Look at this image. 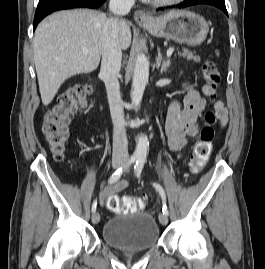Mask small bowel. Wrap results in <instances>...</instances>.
<instances>
[{
    "instance_id": "small-bowel-1",
    "label": "small bowel",
    "mask_w": 265,
    "mask_h": 269,
    "mask_svg": "<svg viewBox=\"0 0 265 269\" xmlns=\"http://www.w3.org/2000/svg\"><path fill=\"white\" fill-rule=\"evenodd\" d=\"M183 87L185 90L183 107L181 108L178 100H172L165 123L168 149L177 157H180L183 153L188 139L196 135V121L205 108V97L210 94L208 85H203L200 91L187 84H184ZM215 112L221 126H225L228 120V113L221 101L216 102ZM128 186L129 182L127 180H120L106 186L99 194L100 203L103 205L109 196L123 191Z\"/></svg>"
}]
</instances>
